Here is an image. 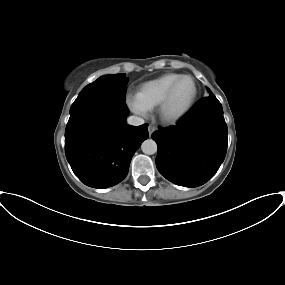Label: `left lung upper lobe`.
<instances>
[{
	"instance_id": "5c2ea615",
	"label": "left lung upper lobe",
	"mask_w": 285,
	"mask_h": 285,
	"mask_svg": "<svg viewBox=\"0 0 285 285\" xmlns=\"http://www.w3.org/2000/svg\"><path fill=\"white\" fill-rule=\"evenodd\" d=\"M209 92H210V95H212V92L209 90Z\"/></svg>"
}]
</instances>
